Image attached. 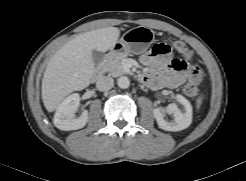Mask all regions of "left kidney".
<instances>
[{
	"instance_id": "left-kidney-1",
	"label": "left kidney",
	"mask_w": 246,
	"mask_h": 181,
	"mask_svg": "<svg viewBox=\"0 0 246 181\" xmlns=\"http://www.w3.org/2000/svg\"><path fill=\"white\" fill-rule=\"evenodd\" d=\"M176 100L184 106V112L173 103L169 104L165 110L160 108H155L153 110L158 126L163 130L174 132L181 131L188 128L192 123V106L190 102L184 96L179 94L176 96ZM165 112L172 115L174 120H166Z\"/></svg>"
}]
</instances>
